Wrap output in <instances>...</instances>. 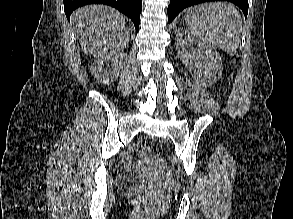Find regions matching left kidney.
<instances>
[{"instance_id":"left-kidney-1","label":"left kidney","mask_w":293,"mask_h":219,"mask_svg":"<svg viewBox=\"0 0 293 219\" xmlns=\"http://www.w3.org/2000/svg\"><path fill=\"white\" fill-rule=\"evenodd\" d=\"M175 34L178 55L183 63L193 70L195 81L203 87L214 84L221 77L223 71L221 57L217 50L185 28H178ZM191 41L197 44V48L189 43Z\"/></svg>"}]
</instances>
